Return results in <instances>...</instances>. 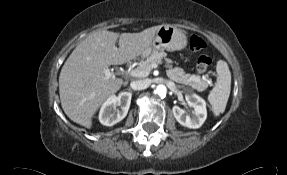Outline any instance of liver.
Wrapping results in <instances>:
<instances>
[{
    "mask_svg": "<svg viewBox=\"0 0 287 175\" xmlns=\"http://www.w3.org/2000/svg\"><path fill=\"white\" fill-rule=\"evenodd\" d=\"M158 28L120 35L107 30L90 33L73 50L60 72L59 94L65 114L91 128L95 112L123 84L121 78H106L108 66L121 65L140 56L151 46ZM117 39L119 47L115 45Z\"/></svg>",
    "mask_w": 287,
    "mask_h": 175,
    "instance_id": "6515ba94",
    "label": "liver"
}]
</instances>
